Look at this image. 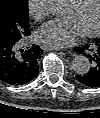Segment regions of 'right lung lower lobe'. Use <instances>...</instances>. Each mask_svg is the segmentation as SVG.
I'll return each mask as SVG.
<instances>
[{
    "instance_id": "1",
    "label": "right lung lower lobe",
    "mask_w": 100,
    "mask_h": 118,
    "mask_svg": "<svg viewBox=\"0 0 100 118\" xmlns=\"http://www.w3.org/2000/svg\"><path fill=\"white\" fill-rule=\"evenodd\" d=\"M30 34L18 40L0 42V79L11 85H23L33 80L39 71L42 50L26 45ZM24 47V49H22Z\"/></svg>"
}]
</instances>
